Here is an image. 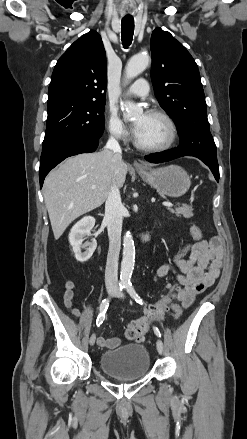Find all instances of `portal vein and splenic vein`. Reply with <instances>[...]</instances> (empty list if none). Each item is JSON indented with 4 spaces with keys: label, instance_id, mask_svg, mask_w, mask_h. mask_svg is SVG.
<instances>
[{
    "label": "portal vein and splenic vein",
    "instance_id": "1",
    "mask_svg": "<svg viewBox=\"0 0 247 439\" xmlns=\"http://www.w3.org/2000/svg\"><path fill=\"white\" fill-rule=\"evenodd\" d=\"M95 188H96L95 186H92V189H95ZM162 204L164 206H166V207H172L173 206V204L171 202H163Z\"/></svg>",
    "mask_w": 247,
    "mask_h": 439
}]
</instances>
